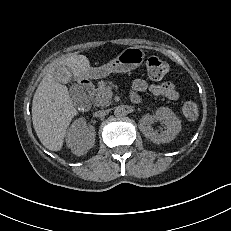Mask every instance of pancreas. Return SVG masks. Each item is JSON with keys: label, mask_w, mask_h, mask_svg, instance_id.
Masks as SVG:
<instances>
[{"label": "pancreas", "mask_w": 231, "mask_h": 231, "mask_svg": "<svg viewBox=\"0 0 231 231\" xmlns=\"http://www.w3.org/2000/svg\"><path fill=\"white\" fill-rule=\"evenodd\" d=\"M114 86L112 82L100 81L98 82L97 89L93 94V103L96 106L107 107L111 104L112 93L111 87Z\"/></svg>", "instance_id": "cf45deb5"}]
</instances>
